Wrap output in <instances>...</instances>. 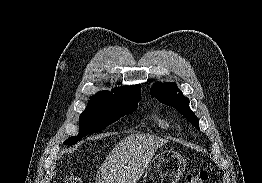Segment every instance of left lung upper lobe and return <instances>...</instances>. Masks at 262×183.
I'll list each match as a JSON object with an SVG mask.
<instances>
[{"mask_svg":"<svg viewBox=\"0 0 262 183\" xmlns=\"http://www.w3.org/2000/svg\"><path fill=\"white\" fill-rule=\"evenodd\" d=\"M151 95L162 104L177 109L194 127L199 128V120L189 107V99L183 95L175 83L158 82L151 88Z\"/></svg>","mask_w":262,"mask_h":183,"instance_id":"1","label":"left lung upper lobe"}]
</instances>
